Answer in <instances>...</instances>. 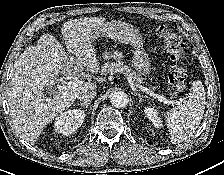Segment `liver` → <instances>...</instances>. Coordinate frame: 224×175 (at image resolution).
I'll list each match as a JSON object with an SVG mask.
<instances>
[{
  "instance_id": "6515ba94",
  "label": "liver",
  "mask_w": 224,
  "mask_h": 175,
  "mask_svg": "<svg viewBox=\"0 0 224 175\" xmlns=\"http://www.w3.org/2000/svg\"><path fill=\"white\" fill-rule=\"evenodd\" d=\"M105 23L104 18L85 17L63 24L61 32L67 53L51 34H44L37 46H29L16 61L8 89L10 115L20 137L36 141L41 131L75 101L83 89H96L93 82L77 86L57 85L52 98L44 87L55 84L60 73L77 76L84 68L97 73L100 68L93 47L92 31Z\"/></svg>"
}]
</instances>
